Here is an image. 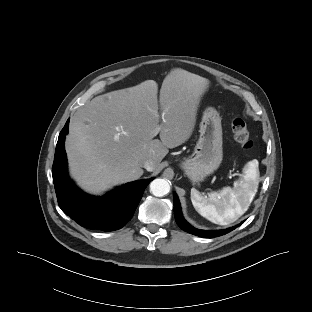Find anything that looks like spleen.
<instances>
[{
  "label": "spleen",
  "mask_w": 312,
  "mask_h": 312,
  "mask_svg": "<svg viewBox=\"0 0 312 312\" xmlns=\"http://www.w3.org/2000/svg\"><path fill=\"white\" fill-rule=\"evenodd\" d=\"M257 167L253 164L247 171L245 181L233 188L224 187L219 193L203 197L191 189V201L196 211L206 219L220 225H228L239 219L249 208L257 191Z\"/></svg>",
  "instance_id": "obj_1"
}]
</instances>
